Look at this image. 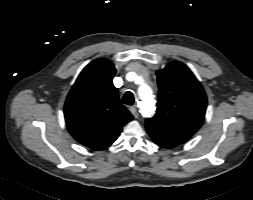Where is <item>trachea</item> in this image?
<instances>
[{
	"label": "trachea",
	"mask_w": 253,
	"mask_h": 200,
	"mask_svg": "<svg viewBox=\"0 0 253 200\" xmlns=\"http://www.w3.org/2000/svg\"><path fill=\"white\" fill-rule=\"evenodd\" d=\"M122 102L126 105H133L134 104V95L132 92H126L122 98Z\"/></svg>",
	"instance_id": "1"
}]
</instances>
